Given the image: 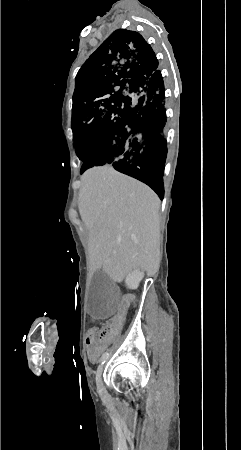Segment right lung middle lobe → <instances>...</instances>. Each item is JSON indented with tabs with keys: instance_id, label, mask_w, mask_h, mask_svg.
Listing matches in <instances>:
<instances>
[{
	"instance_id": "dd1d6c3e",
	"label": "right lung middle lobe",
	"mask_w": 241,
	"mask_h": 450,
	"mask_svg": "<svg viewBox=\"0 0 241 450\" xmlns=\"http://www.w3.org/2000/svg\"><path fill=\"white\" fill-rule=\"evenodd\" d=\"M144 98L124 95L113 85L96 84L76 79L73 94L72 130L74 140L80 132L88 131L90 152L99 141L116 128L134 120L143 113ZM141 134L118 139L107 149L103 157L91 161L88 155L78 157L83 161L81 173L93 166L113 164L143 141ZM89 152V153H90Z\"/></svg>"
}]
</instances>
